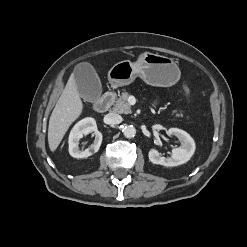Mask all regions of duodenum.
Returning a JSON list of instances; mask_svg holds the SVG:
<instances>
[{"mask_svg": "<svg viewBox=\"0 0 247 247\" xmlns=\"http://www.w3.org/2000/svg\"><path fill=\"white\" fill-rule=\"evenodd\" d=\"M114 100L113 92H106L102 95L93 105L96 112L103 113L106 112L112 105Z\"/></svg>", "mask_w": 247, "mask_h": 247, "instance_id": "obj_1", "label": "duodenum"}]
</instances>
